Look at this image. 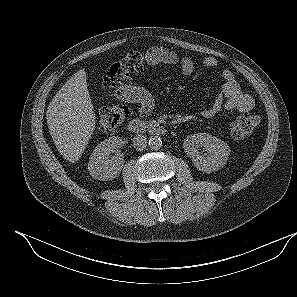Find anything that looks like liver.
<instances>
[{"instance_id": "1", "label": "liver", "mask_w": 297, "mask_h": 297, "mask_svg": "<svg viewBox=\"0 0 297 297\" xmlns=\"http://www.w3.org/2000/svg\"><path fill=\"white\" fill-rule=\"evenodd\" d=\"M84 69L77 71L56 93L46 112L50 135L69 162L83 154L95 130L96 116Z\"/></svg>"}]
</instances>
